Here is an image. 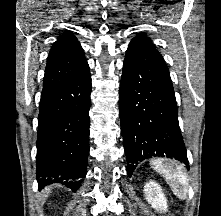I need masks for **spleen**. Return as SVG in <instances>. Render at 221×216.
Here are the masks:
<instances>
[{
  "label": "spleen",
  "instance_id": "obj_1",
  "mask_svg": "<svg viewBox=\"0 0 221 216\" xmlns=\"http://www.w3.org/2000/svg\"><path fill=\"white\" fill-rule=\"evenodd\" d=\"M150 164L155 171L165 178L174 195L183 200L187 198L189 184L184 165L163 159H153Z\"/></svg>",
  "mask_w": 221,
  "mask_h": 216
}]
</instances>
